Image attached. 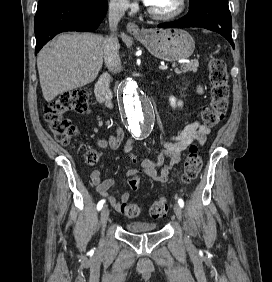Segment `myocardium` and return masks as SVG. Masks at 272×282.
Masks as SVG:
<instances>
[{"label":"myocardium","instance_id":"f54148a6","mask_svg":"<svg viewBox=\"0 0 272 282\" xmlns=\"http://www.w3.org/2000/svg\"><path fill=\"white\" fill-rule=\"evenodd\" d=\"M186 8H187V0H179V8L172 13H168V14L159 13L152 10L150 7L147 8V11L154 18L162 19V20H172L183 15Z\"/></svg>","mask_w":272,"mask_h":282}]
</instances>
